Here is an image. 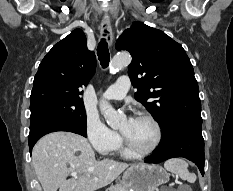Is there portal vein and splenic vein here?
Here are the masks:
<instances>
[{
    "label": "portal vein and splenic vein",
    "instance_id": "portal-vein-and-splenic-vein-1",
    "mask_svg": "<svg viewBox=\"0 0 233 191\" xmlns=\"http://www.w3.org/2000/svg\"><path fill=\"white\" fill-rule=\"evenodd\" d=\"M77 173H72V175L74 176V175H76ZM179 184H182V183H179Z\"/></svg>",
    "mask_w": 233,
    "mask_h": 191
}]
</instances>
